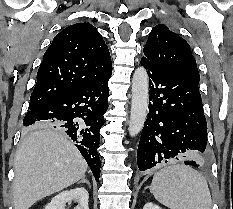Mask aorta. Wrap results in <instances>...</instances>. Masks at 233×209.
Instances as JSON below:
<instances>
[{
    "mask_svg": "<svg viewBox=\"0 0 233 209\" xmlns=\"http://www.w3.org/2000/svg\"><path fill=\"white\" fill-rule=\"evenodd\" d=\"M149 99V79L144 67L135 70L132 78V101L128 131L136 136L143 128Z\"/></svg>",
    "mask_w": 233,
    "mask_h": 209,
    "instance_id": "aorta-1",
    "label": "aorta"
}]
</instances>
